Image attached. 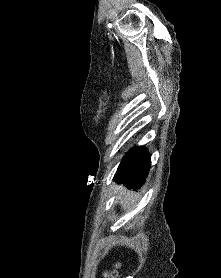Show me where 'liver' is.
Here are the masks:
<instances>
[{"mask_svg": "<svg viewBox=\"0 0 221 278\" xmlns=\"http://www.w3.org/2000/svg\"><path fill=\"white\" fill-rule=\"evenodd\" d=\"M115 192L118 194L116 200L124 209H131L134 205V192L127 190L123 185L116 187Z\"/></svg>", "mask_w": 221, "mask_h": 278, "instance_id": "6515ba94", "label": "liver"}]
</instances>
